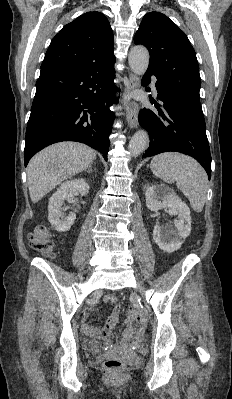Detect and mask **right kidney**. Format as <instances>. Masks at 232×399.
<instances>
[{"mask_svg":"<svg viewBox=\"0 0 232 399\" xmlns=\"http://www.w3.org/2000/svg\"><path fill=\"white\" fill-rule=\"evenodd\" d=\"M81 194L86 196L89 192V186L85 180H71V182H65L59 186L57 192L51 196L48 203V219L57 231H68L71 225H73L76 219V213H68L65 215L62 209H68V207H61L64 200H71L74 194Z\"/></svg>","mask_w":232,"mask_h":399,"instance_id":"right-kidney-1","label":"right kidney"}]
</instances>
